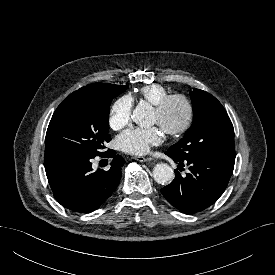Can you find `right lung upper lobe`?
Instances as JSON below:
<instances>
[{
	"instance_id": "obj_1",
	"label": "right lung upper lobe",
	"mask_w": 275,
	"mask_h": 275,
	"mask_svg": "<svg viewBox=\"0 0 275 275\" xmlns=\"http://www.w3.org/2000/svg\"><path fill=\"white\" fill-rule=\"evenodd\" d=\"M113 86H115V85H113V84H106V83H93V84H89V85L84 86V87L80 88L79 90L73 92L67 98H71V97L77 96V95L82 94L84 92L100 91V90L108 89V88L113 87Z\"/></svg>"
}]
</instances>
